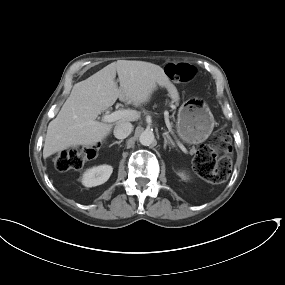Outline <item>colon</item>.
I'll return each mask as SVG.
<instances>
[{
	"label": "colon",
	"mask_w": 285,
	"mask_h": 285,
	"mask_svg": "<svg viewBox=\"0 0 285 285\" xmlns=\"http://www.w3.org/2000/svg\"><path fill=\"white\" fill-rule=\"evenodd\" d=\"M169 75L181 82H188L194 75L193 68L188 64L170 63L167 65ZM231 143L224 128L212 136L208 145L201 146L196 153L193 167L203 179L221 183L231 172ZM87 149L70 148L58 153L55 158V167L60 171L80 169L87 156Z\"/></svg>",
	"instance_id": "obj_1"
}]
</instances>
